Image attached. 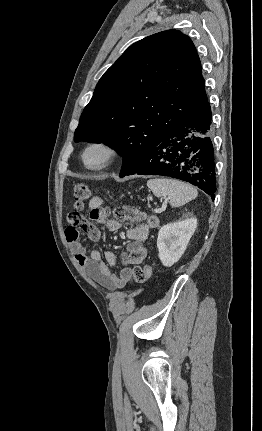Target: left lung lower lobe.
Instances as JSON below:
<instances>
[{
  "mask_svg": "<svg viewBox=\"0 0 262 431\" xmlns=\"http://www.w3.org/2000/svg\"><path fill=\"white\" fill-rule=\"evenodd\" d=\"M211 120L207 101L186 123L144 154L126 175H161L180 179L213 197L216 174Z\"/></svg>",
  "mask_w": 262,
  "mask_h": 431,
  "instance_id": "1",
  "label": "left lung lower lobe"
}]
</instances>
